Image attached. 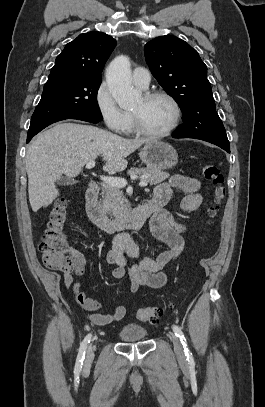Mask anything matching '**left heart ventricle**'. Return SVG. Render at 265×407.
Here are the masks:
<instances>
[{
    "instance_id": "obj_1",
    "label": "left heart ventricle",
    "mask_w": 265,
    "mask_h": 407,
    "mask_svg": "<svg viewBox=\"0 0 265 407\" xmlns=\"http://www.w3.org/2000/svg\"><path fill=\"white\" fill-rule=\"evenodd\" d=\"M131 112L139 117L143 128L151 132L165 130L174 118V109L164 98L146 101L141 97Z\"/></svg>"
}]
</instances>
